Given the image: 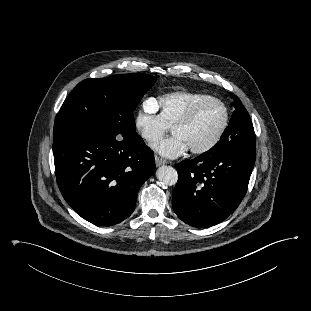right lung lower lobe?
Listing matches in <instances>:
<instances>
[{"label": "right lung lower lobe", "instance_id": "98d812e1", "mask_svg": "<svg viewBox=\"0 0 311 311\" xmlns=\"http://www.w3.org/2000/svg\"><path fill=\"white\" fill-rule=\"evenodd\" d=\"M58 187L85 220L112 226L131 215L137 193L155 169L154 152L131 140L74 136L54 140Z\"/></svg>", "mask_w": 311, "mask_h": 311}]
</instances>
